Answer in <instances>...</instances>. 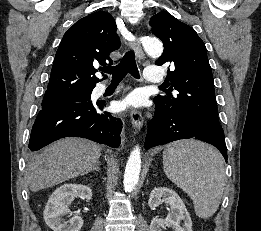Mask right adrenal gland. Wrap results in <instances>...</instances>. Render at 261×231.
Instances as JSON below:
<instances>
[{"label":"right adrenal gland","mask_w":261,"mask_h":231,"mask_svg":"<svg viewBox=\"0 0 261 231\" xmlns=\"http://www.w3.org/2000/svg\"><path fill=\"white\" fill-rule=\"evenodd\" d=\"M99 165H100V163L98 162L95 166H94V168L92 169L93 171L94 170H96V171H100V167H99Z\"/></svg>","instance_id":"2a0ac1e0"}]
</instances>
